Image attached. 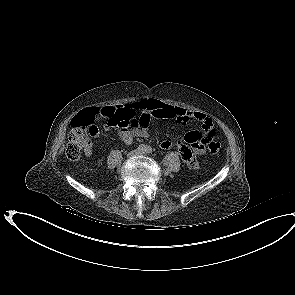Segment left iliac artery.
Returning a JSON list of instances; mask_svg holds the SVG:
<instances>
[{"instance_id": "left-iliac-artery-1", "label": "left iliac artery", "mask_w": 295, "mask_h": 295, "mask_svg": "<svg viewBox=\"0 0 295 295\" xmlns=\"http://www.w3.org/2000/svg\"><path fill=\"white\" fill-rule=\"evenodd\" d=\"M146 153H152V148L150 146H147L145 149Z\"/></svg>"}]
</instances>
